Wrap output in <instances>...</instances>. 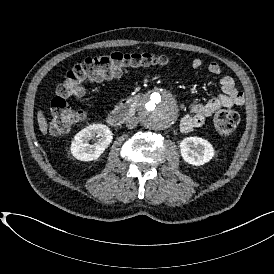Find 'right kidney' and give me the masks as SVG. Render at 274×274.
<instances>
[{"label": "right kidney", "mask_w": 274, "mask_h": 274, "mask_svg": "<svg viewBox=\"0 0 274 274\" xmlns=\"http://www.w3.org/2000/svg\"><path fill=\"white\" fill-rule=\"evenodd\" d=\"M97 138L94 144L89 141ZM113 139V133L110 128L104 124H91L79 131L71 143L72 155L81 161H92L100 157L110 145Z\"/></svg>", "instance_id": "ca27d5eb"}]
</instances>
